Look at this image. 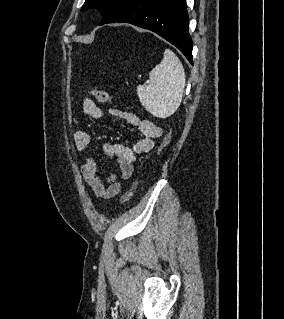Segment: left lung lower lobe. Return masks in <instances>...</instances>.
Instances as JSON below:
<instances>
[{"mask_svg": "<svg viewBox=\"0 0 284 319\" xmlns=\"http://www.w3.org/2000/svg\"><path fill=\"white\" fill-rule=\"evenodd\" d=\"M124 22L155 32L176 46L193 64L185 0H125L106 22Z\"/></svg>", "mask_w": 284, "mask_h": 319, "instance_id": "obj_1", "label": "left lung lower lobe"}]
</instances>
